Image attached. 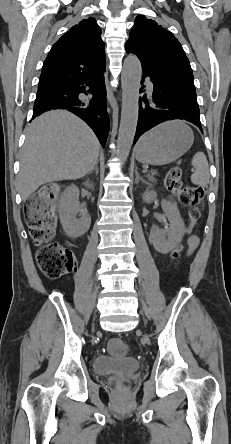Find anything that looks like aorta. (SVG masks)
<instances>
[{
    "label": "aorta",
    "instance_id": "1",
    "mask_svg": "<svg viewBox=\"0 0 231 444\" xmlns=\"http://www.w3.org/2000/svg\"><path fill=\"white\" fill-rule=\"evenodd\" d=\"M142 68L135 55L124 60L122 82V111L118 134V155L126 160L133 144L139 114V89Z\"/></svg>",
    "mask_w": 231,
    "mask_h": 444
}]
</instances>
